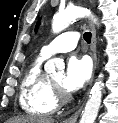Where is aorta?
<instances>
[{
    "label": "aorta",
    "mask_w": 118,
    "mask_h": 123,
    "mask_svg": "<svg viewBox=\"0 0 118 123\" xmlns=\"http://www.w3.org/2000/svg\"><path fill=\"white\" fill-rule=\"evenodd\" d=\"M82 17H91L92 21L95 24H98L97 18L93 16L88 9L80 6H70L67 7L64 11L54 15L52 22V31L54 33H59L67 28L71 22H74L76 19ZM56 67L63 68V61L57 58L51 59L46 63L45 70L47 72H52ZM103 86L104 83L102 81V74H100L98 80L95 82L90 91L89 98L86 102L79 123L95 122L101 104Z\"/></svg>",
    "instance_id": "aorta-1"
}]
</instances>
